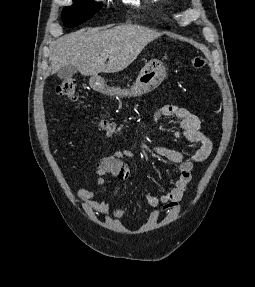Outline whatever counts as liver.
<instances>
[{"label": "liver", "mask_w": 255, "mask_h": 287, "mask_svg": "<svg viewBox=\"0 0 255 287\" xmlns=\"http://www.w3.org/2000/svg\"><path fill=\"white\" fill-rule=\"evenodd\" d=\"M160 36V32L132 24L111 30L83 28L52 42L49 62L53 72L63 66H75L82 76H96L100 72L114 74L130 66L143 48ZM107 58L109 62L105 64Z\"/></svg>", "instance_id": "obj_1"}]
</instances>
